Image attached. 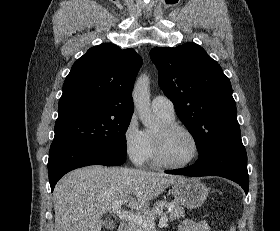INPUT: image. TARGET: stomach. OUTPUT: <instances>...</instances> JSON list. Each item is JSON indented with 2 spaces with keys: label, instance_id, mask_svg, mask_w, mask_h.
I'll list each match as a JSON object with an SVG mask.
<instances>
[{
  "label": "stomach",
  "instance_id": "stomach-1",
  "mask_svg": "<svg viewBox=\"0 0 280 231\" xmlns=\"http://www.w3.org/2000/svg\"><path fill=\"white\" fill-rule=\"evenodd\" d=\"M208 187L194 177H177L172 183V195L184 207L196 209L201 207L208 195Z\"/></svg>",
  "mask_w": 280,
  "mask_h": 231
}]
</instances>
